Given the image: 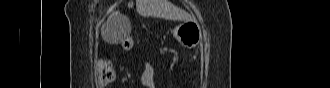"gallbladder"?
<instances>
[{"label":"gallbladder","mask_w":330,"mask_h":88,"mask_svg":"<svg viewBox=\"0 0 330 88\" xmlns=\"http://www.w3.org/2000/svg\"><path fill=\"white\" fill-rule=\"evenodd\" d=\"M122 29L124 30L122 33H121V37H120V39H123L126 35H128V33H129V26H128V24L127 23H123V27H122Z\"/></svg>","instance_id":"gallbladder-1"}]
</instances>
